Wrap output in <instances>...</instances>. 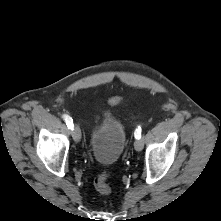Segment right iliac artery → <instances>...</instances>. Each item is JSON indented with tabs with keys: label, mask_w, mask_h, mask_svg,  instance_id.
Returning a JSON list of instances; mask_svg holds the SVG:
<instances>
[{
	"label": "right iliac artery",
	"mask_w": 221,
	"mask_h": 221,
	"mask_svg": "<svg viewBox=\"0 0 221 221\" xmlns=\"http://www.w3.org/2000/svg\"><path fill=\"white\" fill-rule=\"evenodd\" d=\"M62 118L65 120L66 122V125L69 129H72L73 130V120L70 116L64 114L62 115Z\"/></svg>",
	"instance_id": "82829eb1"
}]
</instances>
